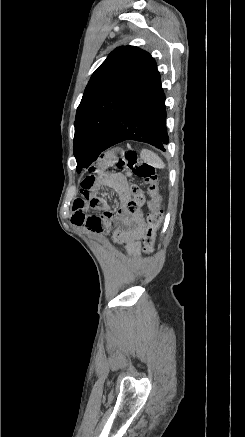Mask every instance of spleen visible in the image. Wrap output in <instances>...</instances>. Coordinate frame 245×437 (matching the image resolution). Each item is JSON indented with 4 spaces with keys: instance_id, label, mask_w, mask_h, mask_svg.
<instances>
[{
    "instance_id": "3e777b00",
    "label": "spleen",
    "mask_w": 245,
    "mask_h": 437,
    "mask_svg": "<svg viewBox=\"0 0 245 437\" xmlns=\"http://www.w3.org/2000/svg\"><path fill=\"white\" fill-rule=\"evenodd\" d=\"M140 157L147 162L150 166L155 168L163 169L165 164L162 159L153 151L148 149H143L140 153Z\"/></svg>"
}]
</instances>
